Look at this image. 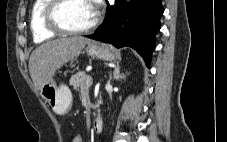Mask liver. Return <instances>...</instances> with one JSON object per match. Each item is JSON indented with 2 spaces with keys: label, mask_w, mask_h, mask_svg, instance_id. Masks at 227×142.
<instances>
[{
  "label": "liver",
  "mask_w": 227,
  "mask_h": 142,
  "mask_svg": "<svg viewBox=\"0 0 227 142\" xmlns=\"http://www.w3.org/2000/svg\"><path fill=\"white\" fill-rule=\"evenodd\" d=\"M89 43L82 36L63 37L38 46L29 59V72L37 90L50 79L61 66L76 58Z\"/></svg>",
  "instance_id": "liver-1"
}]
</instances>
